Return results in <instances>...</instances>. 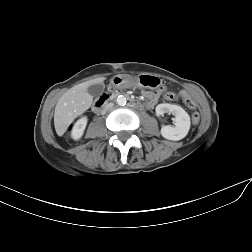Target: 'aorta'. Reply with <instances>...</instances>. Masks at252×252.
Masks as SVG:
<instances>
[{
	"label": "aorta",
	"mask_w": 252,
	"mask_h": 252,
	"mask_svg": "<svg viewBox=\"0 0 252 252\" xmlns=\"http://www.w3.org/2000/svg\"><path fill=\"white\" fill-rule=\"evenodd\" d=\"M116 102H117L118 105L124 106V105H126L127 100H126V97H125V96L119 95V96L117 97V99H116Z\"/></svg>",
	"instance_id": "obj_1"
}]
</instances>
